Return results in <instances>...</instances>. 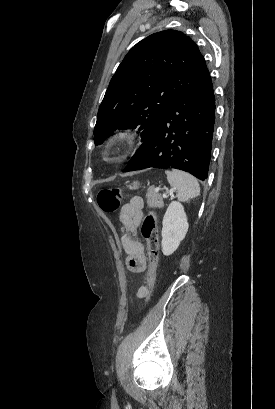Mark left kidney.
<instances>
[{"label":"left kidney","mask_w":275,"mask_h":409,"mask_svg":"<svg viewBox=\"0 0 275 409\" xmlns=\"http://www.w3.org/2000/svg\"><path fill=\"white\" fill-rule=\"evenodd\" d=\"M162 223V253L168 257L178 249L181 241L185 239L189 227L181 202H177V200L170 202Z\"/></svg>","instance_id":"obj_1"}]
</instances>
